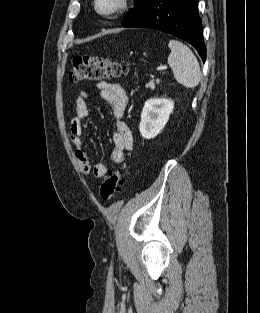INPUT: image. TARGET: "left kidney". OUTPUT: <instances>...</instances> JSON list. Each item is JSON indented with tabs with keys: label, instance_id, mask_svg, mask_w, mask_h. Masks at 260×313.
I'll list each match as a JSON object with an SVG mask.
<instances>
[{
	"label": "left kidney",
	"instance_id": "5707ae66",
	"mask_svg": "<svg viewBox=\"0 0 260 313\" xmlns=\"http://www.w3.org/2000/svg\"><path fill=\"white\" fill-rule=\"evenodd\" d=\"M174 102L171 99L153 98L145 102L141 113L139 130L145 139L156 137L165 127L173 112Z\"/></svg>",
	"mask_w": 260,
	"mask_h": 313
}]
</instances>
